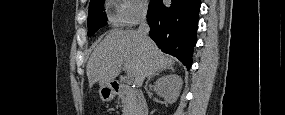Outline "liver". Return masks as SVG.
I'll return each instance as SVG.
<instances>
[{
    "instance_id": "liver-1",
    "label": "liver",
    "mask_w": 285,
    "mask_h": 115,
    "mask_svg": "<svg viewBox=\"0 0 285 115\" xmlns=\"http://www.w3.org/2000/svg\"><path fill=\"white\" fill-rule=\"evenodd\" d=\"M174 63L150 38L144 42L135 30L112 29L91 54L86 73L90 87L95 83L102 87L113 82L122 66H127L134 84L140 87L145 77L172 68Z\"/></svg>"
}]
</instances>
